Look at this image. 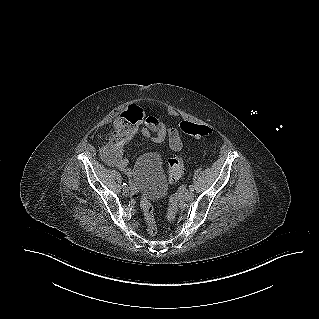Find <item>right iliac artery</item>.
Segmentation results:
<instances>
[{
  "instance_id": "1",
  "label": "right iliac artery",
  "mask_w": 319,
  "mask_h": 319,
  "mask_svg": "<svg viewBox=\"0 0 319 319\" xmlns=\"http://www.w3.org/2000/svg\"><path fill=\"white\" fill-rule=\"evenodd\" d=\"M127 187V184L126 183H123V188Z\"/></svg>"
}]
</instances>
